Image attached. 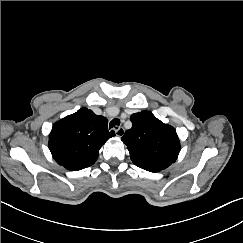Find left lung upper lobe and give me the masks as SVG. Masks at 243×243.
Masks as SVG:
<instances>
[{
  "mask_svg": "<svg viewBox=\"0 0 243 243\" xmlns=\"http://www.w3.org/2000/svg\"><path fill=\"white\" fill-rule=\"evenodd\" d=\"M130 120L133 126L122 141L127 145L133 163L143 169L169 167L180 152L176 130L149 111L132 114Z\"/></svg>",
  "mask_w": 243,
  "mask_h": 243,
  "instance_id": "5c2ea615",
  "label": "left lung upper lobe"
}]
</instances>
